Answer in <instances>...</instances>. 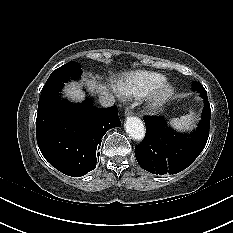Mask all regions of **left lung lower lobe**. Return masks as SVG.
I'll list each match as a JSON object with an SVG mask.
<instances>
[{
	"mask_svg": "<svg viewBox=\"0 0 233 233\" xmlns=\"http://www.w3.org/2000/svg\"><path fill=\"white\" fill-rule=\"evenodd\" d=\"M201 97L205 99L202 120L191 134L173 131L160 116L144 117L146 135L135 147L139 165L153 174H176L190 166L204 149L211 118L210 104L206 90Z\"/></svg>",
	"mask_w": 233,
	"mask_h": 233,
	"instance_id": "obj_1",
	"label": "left lung lower lobe"
}]
</instances>
